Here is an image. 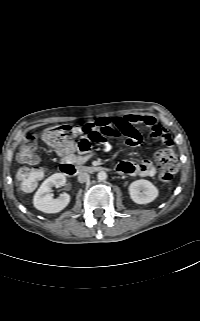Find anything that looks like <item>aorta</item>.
<instances>
[{"label": "aorta", "mask_w": 200, "mask_h": 321, "mask_svg": "<svg viewBox=\"0 0 200 321\" xmlns=\"http://www.w3.org/2000/svg\"><path fill=\"white\" fill-rule=\"evenodd\" d=\"M97 178L99 181H105L107 179V173L104 171H101L97 174Z\"/></svg>", "instance_id": "762f6f07"}]
</instances>
